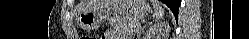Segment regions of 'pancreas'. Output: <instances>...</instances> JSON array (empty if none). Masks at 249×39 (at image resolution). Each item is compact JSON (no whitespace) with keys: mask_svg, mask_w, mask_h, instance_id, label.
Segmentation results:
<instances>
[{"mask_svg":"<svg viewBox=\"0 0 249 39\" xmlns=\"http://www.w3.org/2000/svg\"><path fill=\"white\" fill-rule=\"evenodd\" d=\"M109 23L124 37H131L140 29L139 22L128 17H114L109 20Z\"/></svg>","mask_w":249,"mask_h":39,"instance_id":"pancreas-1","label":"pancreas"}]
</instances>
